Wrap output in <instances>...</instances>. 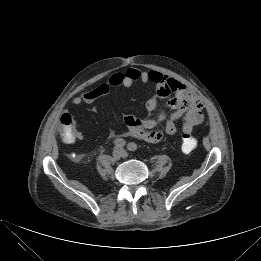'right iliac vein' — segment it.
Segmentation results:
<instances>
[{
  "label": "right iliac vein",
  "instance_id": "1",
  "mask_svg": "<svg viewBox=\"0 0 261 261\" xmlns=\"http://www.w3.org/2000/svg\"><path fill=\"white\" fill-rule=\"evenodd\" d=\"M122 155H123L122 149L121 148H115L112 152V159L114 161H117L122 157Z\"/></svg>",
  "mask_w": 261,
  "mask_h": 261
}]
</instances>
